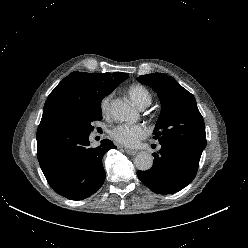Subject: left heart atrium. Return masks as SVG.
<instances>
[{
	"label": "left heart atrium",
	"instance_id": "39dd6f15",
	"mask_svg": "<svg viewBox=\"0 0 248 248\" xmlns=\"http://www.w3.org/2000/svg\"><path fill=\"white\" fill-rule=\"evenodd\" d=\"M111 135L121 145L135 147L148 135V129L141 124H121L112 129Z\"/></svg>",
	"mask_w": 248,
	"mask_h": 248
}]
</instances>
